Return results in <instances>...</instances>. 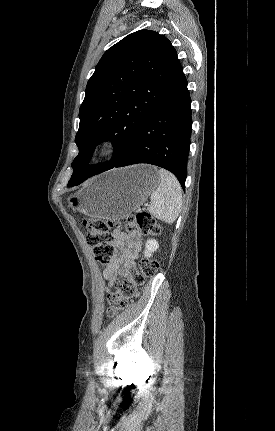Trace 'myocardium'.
I'll use <instances>...</instances> for the list:
<instances>
[{
  "instance_id": "obj_1",
  "label": "myocardium",
  "mask_w": 275,
  "mask_h": 431,
  "mask_svg": "<svg viewBox=\"0 0 275 431\" xmlns=\"http://www.w3.org/2000/svg\"><path fill=\"white\" fill-rule=\"evenodd\" d=\"M117 150L118 142L116 137L105 134L95 140L91 149V155L96 160H104L114 156Z\"/></svg>"
}]
</instances>
